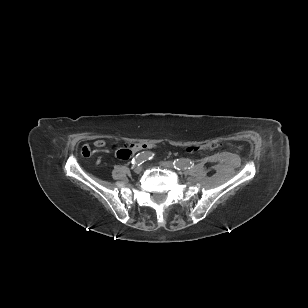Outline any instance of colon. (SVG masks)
Segmentation results:
<instances>
[{
    "mask_svg": "<svg viewBox=\"0 0 308 308\" xmlns=\"http://www.w3.org/2000/svg\"><path fill=\"white\" fill-rule=\"evenodd\" d=\"M220 146V143L218 141H211L204 145H193L186 149L189 153H196L203 150H213ZM151 148V145L149 143H131L130 141H127L124 144L123 148H120L116 151V156L120 159H128L132 154H135L137 150L144 151L149 150ZM82 155L85 158H91L92 157V151L88 146H84L82 148Z\"/></svg>",
    "mask_w": 308,
    "mask_h": 308,
    "instance_id": "1",
    "label": "colon"
}]
</instances>
